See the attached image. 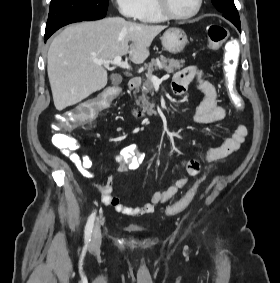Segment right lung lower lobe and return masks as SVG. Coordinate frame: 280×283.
Returning a JSON list of instances; mask_svg holds the SVG:
<instances>
[{
    "mask_svg": "<svg viewBox=\"0 0 280 283\" xmlns=\"http://www.w3.org/2000/svg\"><path fill=\"white\" fill-rule=\"evenodd\" d=\"M84 20H79V19H67V20H60L57 21L53 24H50L46 27L45 31V40H47L55 31H57L59 28L68 25L70 23H75V22H81Z\"/></svg>",
    "mask_w": 280,
    "mask_h": 283,
    "instance_id": "right-lung-lower-lobe-1",
    "label": "right lung lower lobe"
}]
</instances>
